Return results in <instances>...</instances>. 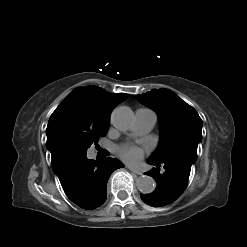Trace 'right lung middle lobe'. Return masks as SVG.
<instances>
[{"mask_svg":"<svg viewBox=\"0 0 247 247\" xmlns=\"http://www.w3.org/2000/svg\"><path fill=\"white\" fill-rule=\"evenodd\" d=\"M108 123H92L71 116L63 117L57 124L55 140L61 153L86 155L87 149L97 145L98 137L106 135Z\"/></svg>","mask_w":247,"mask_h":247,"instance_id":"dd1d6c3e","label":"right lung middle lobe"}]
</instances>
